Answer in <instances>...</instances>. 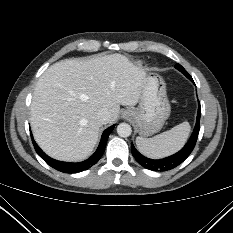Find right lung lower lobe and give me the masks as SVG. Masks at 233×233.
Masks as SVG:
<instances>
[{
    "label": "right lung lower lobe",
    "instance_id": "98d812e1",
    "mask_svg": "<svg viewBox=\"0 0 233 233\" xmlns=\"http://www.w3.org/2000/svg\"><path fill=\"white\" fill-rule=\"evenodd\" d=\"M114 127H115V125H112L103 132L100 144H99L97 150L95 151V153L89 159H87L83 162H79V163L61 162V161H57V160L50 158L35 143L32 135H31V138H32V142H33V145H34V148H35L37 154L49 166H51L52 168H54L58 171L64 172V173H76V172H80V171H83V170L90 168L91 166H93L94 164H96L99 161V159L102 157V155L104 153L106 143L108 140V136L112 132Z\"/></svg>",
    "mask_w": 233,
    "mask_h": 233
}]
</instances>
